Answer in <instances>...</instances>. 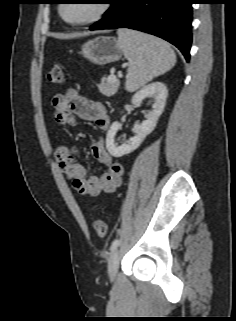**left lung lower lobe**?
Masks as SVG:
<instances>
[{
  "label": "left lung lower lobe",
  "mask_w": 236,
  "mask_h": 321,
  "mask_svg": "<svg viewBox=\"0 0 236 321\" xmlns=\"http://www.w3.org/2000/svg\"><path fill=\"white\" fill-rule=\"evenodd\" d=\"M196 0H114L105 17L90 30L130 28L175 45L190 58L192 4Z\"/></svg>",
  "instance_id": "1"
}]
</instances>
